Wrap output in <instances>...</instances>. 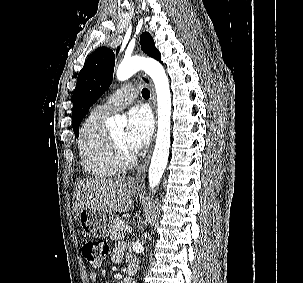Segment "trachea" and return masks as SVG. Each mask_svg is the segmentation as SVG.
<instances>
[{"mask_svg": "<svg viewBox=\"0 0 303 283\" xmlns=\"http://www.w3.org/2000/svg\"><path fill=\"white\" fill-rule=\"evenodd\" d=\"M142 96H143V98L148 99L150 97V91L147 88H143Z\"/></svg>", "mask_w": 303, "mask_h": 283, "instance_id": "3493384b", "label": "trachea"}]
</instances>
